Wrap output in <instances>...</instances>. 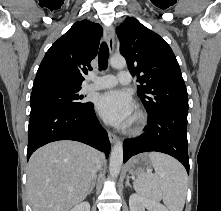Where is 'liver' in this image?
I'll return each instance as SVG.
<instances>
[{"label": "liver", "mask_w": 221, "mask_h": 211, "mask_svg": "<svg viewBox=\"0 0 221 211\" xmlns=\"http://www.w3.org/2000/svg\"><path fill=\"white\" fill-rule=\"evenodd\" d=\"M104 156L85 144L63 140L36 150L27 167V192L33 211H69L92 185Z\"/></svg>", "instance_id": "1"}]
</instances>
